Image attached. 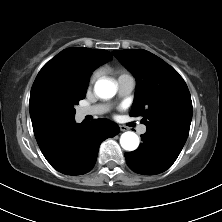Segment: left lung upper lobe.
Masks as SVG:
<instances>
[{
    "label": "left lung upper lobe",
    "mask_w": 222,
    "mask_h": 222,
    "mask_svg": "<svg viewBox=\"0 0 222 222\" xmlns=\"http://www.w3.org/2000/svg\"><path fill=\"white\" fill-rule=\"evenodd\" d=\"M137 81L131 116H142L147 129L179 125L187 133L192 119V101L183 78L156 55L138 49L113 51Z\"/></svg>",
    "instance_id": "obj_1"
}]
</instances>
